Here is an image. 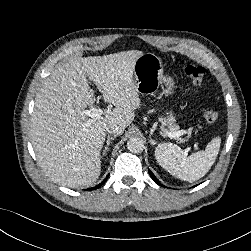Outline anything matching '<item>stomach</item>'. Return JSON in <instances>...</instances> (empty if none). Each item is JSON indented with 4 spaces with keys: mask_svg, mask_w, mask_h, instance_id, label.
<instances>
[{
    "mask_svg": "<svg viewBox=\"0 0 251 251\" xmlns=\"http://www.w3.org/2000/svg\"><path fill=\"white\" fill-rule=\"evenodd\" d=\"M134 75L135 88L142 95L154 94L162 84H164L167 94L174 93L175 82L173 78L163 75L161 58L153 53L142 54L138 57L134 66ZM163 124L168 128L175 124V118L171 113Z\"/></svg>",
    "mask_w": 251,
    "mask_h": 251,
    "instance_id": "0dacf381",
    "label": "stomach"
}]
</instances>
